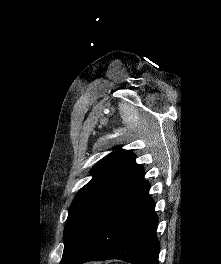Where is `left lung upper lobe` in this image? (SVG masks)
<instances>
[{
  "label": "left lung upper lobe",
  "instance_id": "left-lung-upper-lobe-1",
  "mask_svg": "<svg viewBox=\"0 0 221 264\" xmlns=\"http://www.w3.org/2000/svg\"><path fill=\"white\" fill-rule=\"evenodd\" d=\"M136 156L116 147L92 168L93 178L75 196L64 228L67 256L88 233L144 180Z\"/></svg>",
  "mask_w": 221,
  "mask_h": 264
}]
</instances>
